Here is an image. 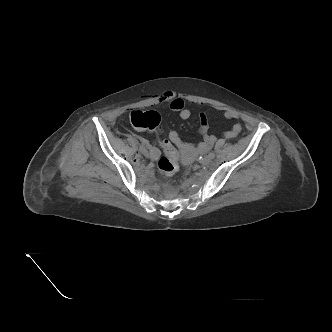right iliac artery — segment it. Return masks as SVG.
Returning a JSON list of instances; mask_svg holds the SVG:
<instances>
[{"mask_svg":"<svg viewBox=\"0 0 332 332\" xmlns=\"http://www.w3.org/2000/svg\"><path fill=\"white\" fill-rule=\"evenodd\" d=\"M141 145L148 147V143L145 140H141Z\"/></svg>","mask_w":332,"mask_h":332,"instance_id":"82829eb1","label":"right iliac artery"}]
</instances>
